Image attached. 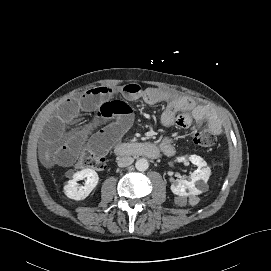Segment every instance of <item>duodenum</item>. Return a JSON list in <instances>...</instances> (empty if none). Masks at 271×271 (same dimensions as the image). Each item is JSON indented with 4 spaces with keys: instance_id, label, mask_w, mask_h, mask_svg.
I'll use <instances>...</instances> for the list:
<instances>
[{
    "instance_id": "obj_1",
    "label": "duodenum",
    "mask_w": 271,
    "mask_h": 271,
    "mask_svg": "<svg viewBox=\"0 0 271 271\" xmlns=\"http://www.w3.org/2000/svg\"><path fill=\"white\" fill-rule=\"evenodd\" d=\"M115 154L117 156L137 155L156 158L159 155V149L154 144H140L135 146L119 144L115 147Z\"/></svg>"
}]
</instances>
